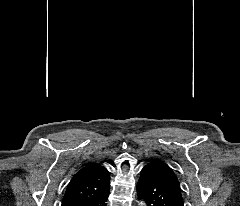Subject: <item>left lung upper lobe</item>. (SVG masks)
<instances>
[{"label": "left lung upper lobe", "mask_w": 240, "mask_h": 206, "mask_svg": "<svg viewBox=\"0 0 240 206\" xmlns=\"http://www.w3.org/2000/svg\"><path fill=\"white\" fill-rule=\"evenodd\" d=\"M155 161H158L161 164V168L164 171V173L167 175L170 185L175 190V192L182 197V190L180 187V183L173 169L165 162H162L159 160H155Z\"/></svg>", "instance_id": "1"}]
</instances>
